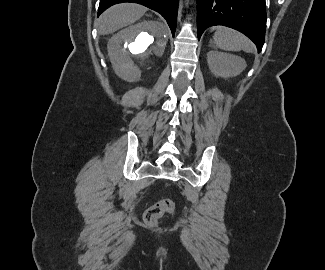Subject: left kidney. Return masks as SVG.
I'll use <instances>...</instances> for the list:
<instances>
[{
    "mask_svg": "<svg viewBox=\"0 0 325 270\" xmlns=\"http://www.w3.org/2000/svg\"><path fill=\"white\" fill-rule=\"evenodd\" d=\"M207 63L211 72L222 78L236 76L246 68V62L241 57L216 50L207 53Z\"/></svg>",
    "mask_w": 325,
    "mask_h": 270,
    "instance_id": "1",
    "label": "left kidney"
}]
</instances>
